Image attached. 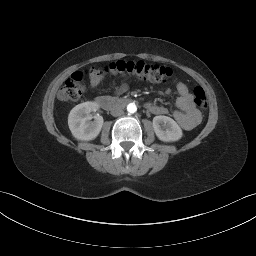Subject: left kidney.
Wrapping results in <instances>:
<instances>
[{"label": "left kidney", "instance_id": "5707ae66", "mask_svg": "<svg viewBox=\"0 0 256 256\" xmlns=\"http://www.w3.org/2000/svg\"><path fill=\"white\" fill-rule=\"evenodd\" d=\"M153 128L156 136L164 142L178 141L182 137V130L179 125L168 116H155Z\"/></svg>", "mask_w": 256, "mask_h": 256}]
</instances>
